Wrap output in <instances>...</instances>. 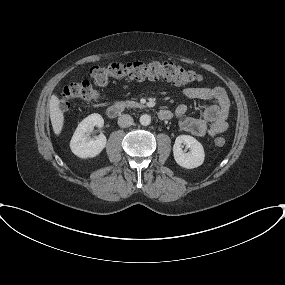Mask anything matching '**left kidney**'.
Returning <instances> with one entry per match:
<instances>
[{
  "label": "left kidney",
  "mask_w": 285,
  "mask_h": 285,
  "mask_svg": "<svg viewBox=\"0 0 285 285\" xmlns=\"http://www.w3.org/2000/svg\"><path fill=\"white\" fill-rule=\"evenodd\" d=\"M183 145L189 148V152L182 149ZM173 155L176 163L183 168L193 169L204 162L205 153L202 144L190 135H179L173 146Z\"/></svg>",
  "instance_id": "5707ae66"
}]
</instances>
